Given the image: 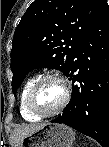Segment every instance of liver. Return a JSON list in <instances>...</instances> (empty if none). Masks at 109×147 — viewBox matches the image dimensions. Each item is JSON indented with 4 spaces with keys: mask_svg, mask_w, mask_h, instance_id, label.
<instances>
[{
    "mask_svg": "<svg viewBox=\"0 0 109 147\" xmlns=\"http://www.w3.org/2000/svg\"><path fill=\"white\" fill-rule=\"evenodd\" d=\"M43 126H45V124H30L17 127L12 133V142L15 147H20L24 137L41 129Z\"/></svg>",
    "mask_w": 109,
    "mask_h": 147,
    "instance_id": "1",
    "label": "liver"
}]
</instances>
